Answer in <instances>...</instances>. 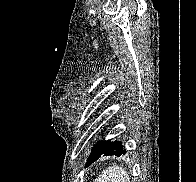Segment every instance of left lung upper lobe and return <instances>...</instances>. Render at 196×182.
<instances>
[{"instance_id": "obj_1", "label": "left lung upper lobe", "mask_w": 196, "mask_h": 182, "mask_svg": "<svg viewBox=\"0 0 196 182\" xmlns=\"http://www.w3.org/2000/svg\"><path fill=\"white\" fill-rule=\"evenodd\" d=\"M102 142H103V141L98 142L97 145L93 148V150H94L96 147H98Z\"/></svg>"}]
</instances>
